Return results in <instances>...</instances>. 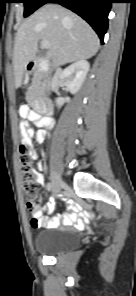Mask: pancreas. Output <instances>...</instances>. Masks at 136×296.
<instances>
[{
	"instance_id": "cf45deb5",
	"label": "pancreas",
	"mask_w": 136,
	"mask_h": 296,
	"mask_svg": "<svg viewBox=\"0 0 136 296\" xmlns=\"http://www.w3.org/2000/svg\"><path fill=\"white\" fill-rule=\"evenodd\" d=\"M42 91V87L39 86V79L36 77L33 79L31 86L28 89V97H36Z\"/></svg>"
}]
</instances>
